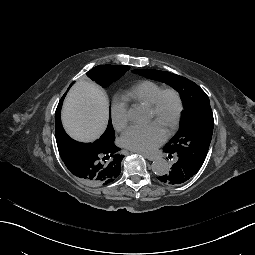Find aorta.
<instances>
[{
  "instance_id": "obj_1",
  "label": "aorta",
  "mask_w": 255,
  "mask_h": 255,
  "mask_svg": "<svg viewBox=\"0 0 255 255\" xmlns=\"http://www.w3.org/2000/svg\"><path fill=\"white\" fill-rule=\"evenodd\" d=\"M128 116L130 120L134 122H140L145 119L146 113L141 107H134L128 111ZM151 168L153 173H155L157 176H162L164 174H167L170 169L167 160L163 158L154 160L151 165Z\"/></svg>"
}]
</instances>
